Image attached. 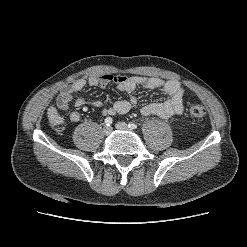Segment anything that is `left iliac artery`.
Returning <instances> with one entry per match:
<instances>
[{
  "mask_svg": "<svg viewBox=\"0 0 247 247\" xmlns=\"http://www.w3.org/2000/svg\"><path fill=\"white\" fill-rule=\"evenodd\" d=\"M128 127L130 129H136L137 128V125L135 123L131 122V123H129Z\"/></svg>",
  "mask_w": 247,
  "mask_h": 247,
  "instance_id": "1",
  "label": "left iliac artery"
}]
</instances>
